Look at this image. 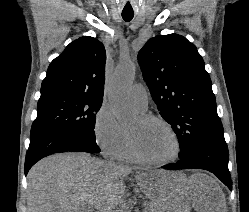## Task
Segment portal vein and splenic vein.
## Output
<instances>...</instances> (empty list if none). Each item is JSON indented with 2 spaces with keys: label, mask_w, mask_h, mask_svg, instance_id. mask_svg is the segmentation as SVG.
Here are the masks:
<instances>
[{
  "label": "portal vein and splenic vein",
  "mask_w": 249,
  "mask_h": 212,
  "mask_svg": "<svg viewBox=\"0 0 249 212\" xmlns=\"http://www.w3.org/2000/svg\"><path fill=\"white\" fill-rule=\"evenodd\" d=\"M92 208L93 206H90V208H88V212H93Z\"/></svg>",
  "instance_id": "18ae733b"
}]
</instances>
